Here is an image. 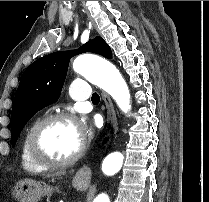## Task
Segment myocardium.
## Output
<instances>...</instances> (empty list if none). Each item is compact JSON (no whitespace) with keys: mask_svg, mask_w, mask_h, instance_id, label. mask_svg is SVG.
Instances as JSON below:
<instances>
[{"mask_svg":"<svg viewBox=\"0 0 209 202\" xmlns=\"http://www.w3.org/2000/svg\"><path fill=\"white\" fill-rule=\"evenodd\" d=\"M56 121H67L78 125V121L76 117L73 115L63 112L53 113L39 119L32 127L28 137V143H27L28 155L36 165H38L43 169H59V168L68 167L74 164L76 161H78L85 152L86 143H85V139L82 138L78 150L72 156H70L65 160H61V161L49 160L39 153L37 149V138L40 132L47 125Z\"/></svg>","mask_w":209,"mask_h":202,"instance_id":"myocardium-1","label":"myocardium"}]
</instances>
